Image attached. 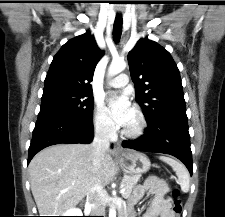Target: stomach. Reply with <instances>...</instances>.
Masks as SVG:
<instances>
[{
  "mask_svg": "<svg viewBox=\"0 0 225 217\" xmlns=\"http://www.w3.org/2000/svg\"><path fill=\"white\" fill-rule=\"evenodd\" d=\"M119 165L124 173L140 175L150 169L148 157L140 152L127 151L118 158Z\"/></svg>",
  "mask_w": 225,
  "mask_h": 217,
  "instance_id": "stomach-1",
  "label": "stomach"
}]
</instances>
